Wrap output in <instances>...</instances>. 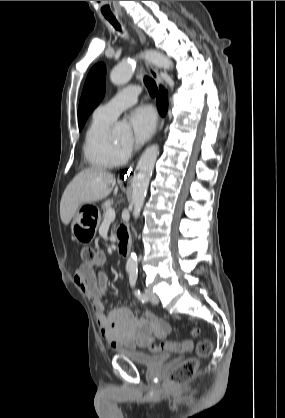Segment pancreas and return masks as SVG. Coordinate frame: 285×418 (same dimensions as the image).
Returning <instances> with one entry per match:
<instances>
[{"instance_id":"cf45deb5","label":"pancreas","mask_w":285,"mask_h":418,"mask_svg":"<svg viewBox=\"0 0 285 418\" xmlns=\"http://www.w3.org/2000/svg\"><path fill=\"white\" fill-rule=\"evenodd\" d=\"M111 208V205L109 203H105L102 206V210H103V216L105 215L106 211ZM115 231V226L112 228L111 232L113 233Z\"/></svg>"}]
</instances>
